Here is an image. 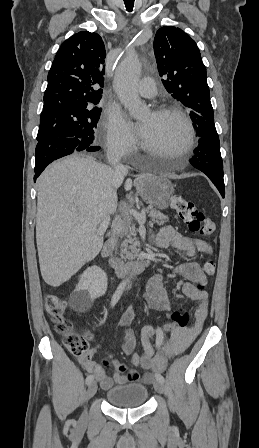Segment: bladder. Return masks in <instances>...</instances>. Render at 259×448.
Instances as JSON below:
<instances>
[{"mask_svg": "<svg viewBox=\"0 0 259 448\" xmlns=\"http://www.w3.org/2000/svg\"><path fill=\"white\" fill-rule=\"evenodd\" d=\"M148 398V389L142 384H126L112 387L106 393L107 401L117 407L133 408L143 405Z\"/></svg>", "mask_w": 259, "mask_h": 448, "instance_id": "31cf9c89", "label": "bladder"}]
</instances>
